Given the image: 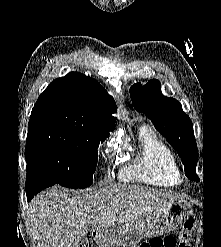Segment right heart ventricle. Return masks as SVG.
<instances>
[{"mask_svg":"<svg viewBox=\"0 0 221 247\" xmlns=\"http://www.w3.org/2000/svg\"><path fill=\"white\" fill-rule=\"evenodd\" d=\"M123 182L174 187L180 184L179 166L173 151L148 126L138 132V152L119 172Z\"/></svg>","mask_w":221,"mask_h":247,"instance_id":"obj_1","label":"right heart ventricle"}]
</instances>
